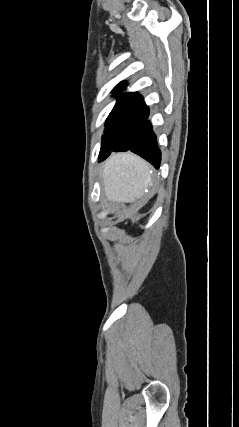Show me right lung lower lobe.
<instances>
[{
  "label": "right lung lower lobe",
  "instance_id": "1",
  "mask_svg": "<svg viewBox=\"0 0 239 427\" xmlns=\"http://www.w3.org/2000/svg\"><path fill=\"white\" fill-rule=\"evenodd\" d=\"M147 119L148 117L134 134L129 147L115 152L130 150L150 162L156 168H159L161 153L157 147L156 136L152 131L151 123ZM106 158H102L99 161H103Z\"/></svg>",
  "mask_w": 239,
  "mask_h": 427
}]
</instances>
